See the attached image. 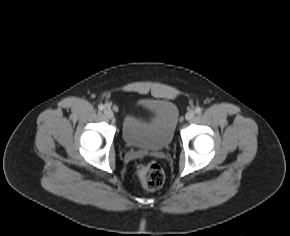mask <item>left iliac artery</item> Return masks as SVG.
<instances>
[{"label":"left iliac artery","mask_w":290,"mask_h":236,"mask_svg":"<svg viewBox=\"0 0 290 236\" xmlns=\"http://www.w3.org/2000/svg\"><path fill=\"white\" fill-rule=\"evenodd\" d=\"M201 111H202V109H201L200 107H197V108L195 109V112H196V113H201Z\"/></svg>","instance_id":"44dca946"}]
</instances>
